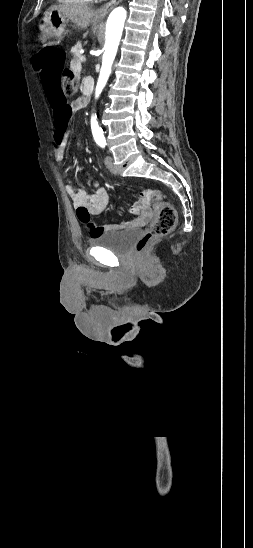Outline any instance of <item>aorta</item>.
Wrapping results in <instances>:
<instances>
[{
    "label": "aorta",
    "mask_w": 253,
    "mask_h": 548,
    "mask_svg": "<svg viewBox=\"0 0 253 548\" xmlns=\"http://www.w3.org/2000/svg\"><path fill=\"white\" fill-rule=\"evenodd\" d=\"M126 17L127 12L123 7L115 8L108 17L105 32V52L102 57V66L96 85V97L100 95L110 76ZM92 131L95 139L103 137V132L97 125L95 118H93Z\"/></svg>",
    "instance_id": "1"
}]
</instances>
